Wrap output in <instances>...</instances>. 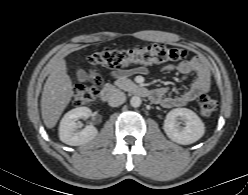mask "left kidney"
Masks as SVG:
<instances>
[{
  "instance_id": "left-kidney-1",
  "label": "left kidney",
  "mask_w": 248,
  "mask_h": 195,
  "mask_svg": "<svg viewBox=\"0 0 248 195\" xmlns=\"http://www.w3.org/2000/svg\"><path fill=\"white\" fill-rule=\"evenodd\" d=\"M184 121L185 127H180L178 120ZM163 129L174 142L188 145L199 140L205 133V126L198 115L187 108L171 110L164 121Z\"/></svg>"
}]
</instances>
